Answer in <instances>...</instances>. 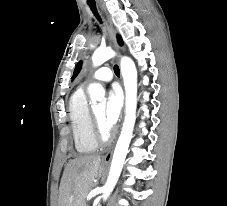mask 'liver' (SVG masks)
<instances>
[{"label":"liver","instance_id":"obj_1","mask_svg":"<svg viewBox=\"0 0 227 206\" xmlns=\"http://www.w3.org/2000/svg\"><path fill=\"white\" fill-rule=\"evenodd\" d=\"M101 173L100 156L83 155L69 161L60 182L58 206H83Z\"/></svg>","mask_w":227,"mask_h":206}]
</instances>
